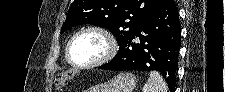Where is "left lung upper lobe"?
I'll use <instances>...</instances> for the list:
<instances>
[{
	"label": "left lung upper lobe",
	"mask_w": 225,
	"mask_h": 92,
	"mask_svg": "<svg viewBox=\"0 0 225 92\" xmlns=\"http://www.w3.org/2000/svg\"><path fill=\"white\" fill-rule=\"evenodd\" d=\"M166 0H74L61 33L80 24L104 28L116 37L118 45L132 38L144 20Z\"/></svg>",
	"instance_id": "left-lung-upper-lobe-1"
}]
</instances>
